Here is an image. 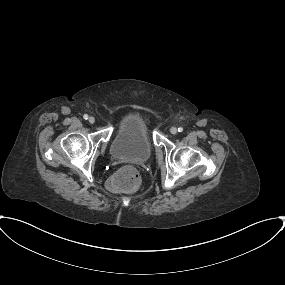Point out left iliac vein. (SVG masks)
<instances>
[{"label": "left iliac vein", "mask_w": 285, "mask_h": 285, "mask_svg": "<svg viewBox=\"0 0 285 285\" xmlns=\"http://www.w3.org/2000/svg\"><path fill=\"white\" fill-rule=\"evenodd\" d=\"M170 132L172 134H176L177 133V128L176 127H171Z\"/></svg>", "instance_id": "4c4485c4"}]
</instances>
